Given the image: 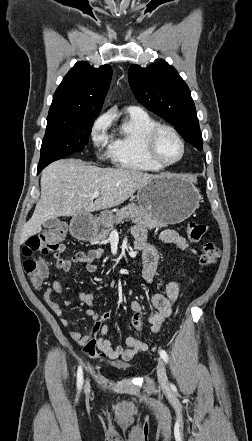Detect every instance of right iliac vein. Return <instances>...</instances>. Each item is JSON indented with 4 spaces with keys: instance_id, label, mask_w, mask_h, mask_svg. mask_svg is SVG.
<instances>
[{
    "instance_id": "obj_1",
    "label": "right iliac vein",
    "mask_w": 252,
    "mask_h": 441,
    "mask_svg": "<svg viewBox=\"0 0 252 441\" xmlns=\"http://www.w3.org/2000/svg\"><path fill=\"white\" fill-rule=\"evenodd\" d=\"M89 389V381L86 382V390Z\"/></svg>"
}]
</instances>
